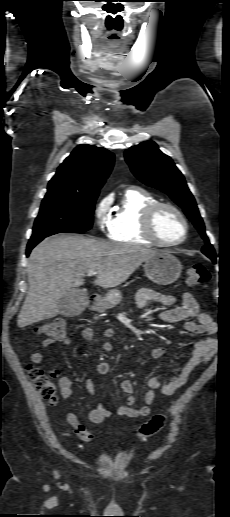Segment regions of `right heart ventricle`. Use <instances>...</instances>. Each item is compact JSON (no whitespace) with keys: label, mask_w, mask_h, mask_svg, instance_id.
<instances>
[{"label":"right heart ventricle","mask_w":230,"mask_h":517,"mask_svg":"<svg viewBox=\"0 0 230 517\" xmlns=\"http://www.w3.org/2000/svg\"><path fill=\"white\" fill-rule=\"evenodd\" d=\"M156 202L157 199L144 189L127 188L112 215L108 237L125 244H155L143 232V215Z\"/></svg>","instance_id":"e07e8e85"}]
</instances>
